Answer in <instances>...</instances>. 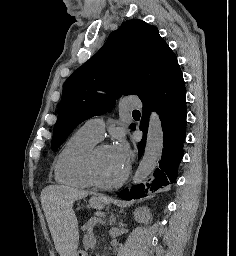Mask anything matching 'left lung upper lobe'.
I'll return each mask as SVG.
<instances>
[{
	"mask_svg": "<svg viewBox=\"0 0 236 256\" xmlns=\"http://www.w3.org/2000/svg\"><path fill=\"white\" fill-rule=\"evenodd\" d=\"M178 68L175 54L156 27L139 19L123 22L99 52L67 79L52 149L56 151L82 121L110 111L122 95L144 99Z\"/></svg>",
	"mask_w": 236,
	"mask_h": 256,
	"instance_id": "left-lung-upper-lobe-1",
	"label": "left lung upper lobe"
}]
</instances>
